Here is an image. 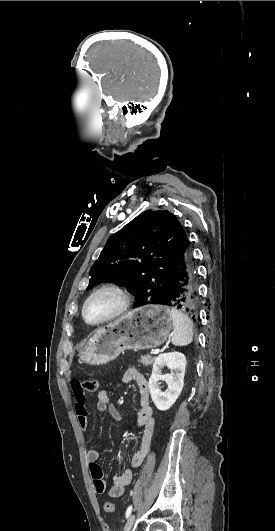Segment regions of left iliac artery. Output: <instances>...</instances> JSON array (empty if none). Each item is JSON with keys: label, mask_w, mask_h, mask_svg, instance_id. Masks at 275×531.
<instances>
[{"label": "left iliac artery", "mask_w": 275, "mask_h": 531, "mask_svg": "<svg viewBox=\"0 0 275 531\" xmlns=\"http://www.w3.org/2000/svg\"><path fill=\"white\" fill-rule=\"evenodd\" d=\"M131 512H132V506H129L126 510V518L130 516Z\"/></svg>", "instance_id": "obj_1"}]
</instances>
